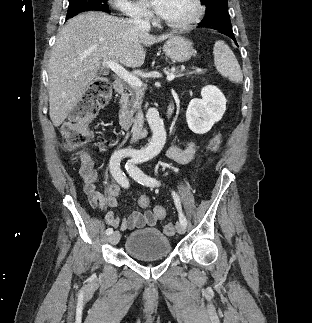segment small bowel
<instances>
[{"label":"small bowel","mask_w":312,"mask_h":323,"mask_svg":"<svg viewBox=\"0 0 312 323\" xmlns=\"http://www.w3.org/2000/svg\"><path fill=\"white\" fill-rule=\"evenodd\" d=\"M194 152V143L190 142L184 148L170 146L166 155L172 161L187 164L193 159ZM79 172L83 182V191L87 195L90 205L99 208L109 226L127 231L146 226L154 227L157 224L160 217L155 215V210H146L144 213L135 211L123 220L115 212L108 211V207H117L119 204V188L116 184H108L105 186L104 192L96 189L97 170L91 158L85 157L82 159Z\"/></svg>","instance_id":"c3829d8e"}]
</instances>
